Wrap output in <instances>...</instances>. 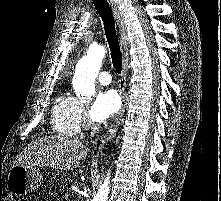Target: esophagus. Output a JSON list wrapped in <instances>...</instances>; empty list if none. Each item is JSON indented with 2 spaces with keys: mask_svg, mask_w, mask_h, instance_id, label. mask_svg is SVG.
<instances>
[{
  "mask_svg": "<svg viewBox=\"0 0 221 201\" xmlns=\"http://www.w3.org/2000/svg\"><path fill=\"white\" fill-rule=\"evenodd\" d=\"M107 3L111 7L115 20H116V24H117L118 31H119L120 49H121V53L123 56L122 73H121V79L119 83V93L122 99V106L116 116V119L112 127L100 138L99 151H98L97 156H99V153L105 148V146L114 139L118 130L119 122L125 110V87H126V81H127L128 58H129L127 28L124 23L123 13L121 12L118 3H116L115 0H107Z\"/></svg>",
  "mask_w": 221,
  "mask_h": 201,
  "instance_id": "34e87169",
  "label": "esophagus"
}]
</instances>
